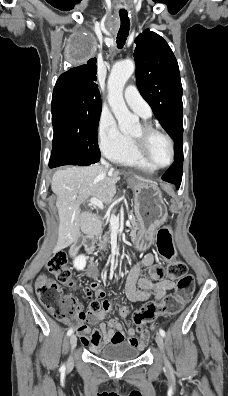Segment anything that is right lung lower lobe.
Wrapping results in <instances>:
<instances>
[{
    "instance_id": "98d812e1",
    "label": "right lung lower lobe",
    "mask_w": 228,
    "mask_h": 396,
    "mask_svg": "<svg viewBox=\"0 0 228 396\" xmlns=\"http://www.w3.org/2000/svg\"><path fill=\"white\" fill-rule=\"evenodd\" d=\"M62 165H69V164H67L66 162L59 160V159L50 158V161H49L50 168H54V167H58V166H62Z\"/></svg>"
}]
</instances>
